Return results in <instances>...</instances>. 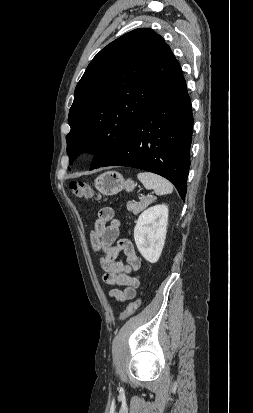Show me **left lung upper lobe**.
<instances>
[{"label": "left lung upper lobe", "mask_w": 253, "mask_h": 413, "mask_svg": "<svg viewBox=\"0 0 253 413\" xmlns=\"http://www.w3.org/2000/svg\"><path fill=\"white\" fill-rule=\"evenodd\" d=\"M164 39L149 28L117 38L90 62L78 82L66 137L70 164L82 152L104 164L124 143L176 68Z\"/></svg>", "instance_id": "obj_1"}]
</instances>
